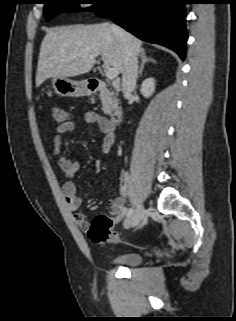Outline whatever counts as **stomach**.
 Here are the masks:
<instances>
[{
  "mask_svg": "<svg viewBox=\"0 0 236 321\" xmlns=\"http://www.w3.org/2000/svg\"><path fill=\"white\" fill-rule=\"evenodd\" d=\"M52 85L55 92L64 97H80L90 93L87 82L71 80L67 77H58L52 79Z\"/></svg>",
  "mask_w": 236,
  "mask_h": 321,
  "instance_id": "0dacf381",
  "label": "stomach"
}]
</instances>
